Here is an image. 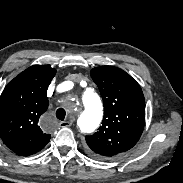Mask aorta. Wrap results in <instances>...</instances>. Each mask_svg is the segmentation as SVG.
<instances>
[{"label": "aorta", "mask_w": 183, "mask_h": 183, "mask_svg": "<svg viewBox=\"0 0 183 183\" xmlns=\"http://www.w3.org/2000/svg\"><path fill=\"white\" fill-rule=\"evenodd\" d=\"M83 110L77 123L83 133L93 132L100 124L103 116V106L99 95L94 91H85L82 95Z\"/></svg>", "instance_id": "1"}]
</instances>
